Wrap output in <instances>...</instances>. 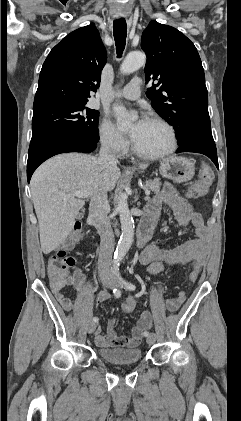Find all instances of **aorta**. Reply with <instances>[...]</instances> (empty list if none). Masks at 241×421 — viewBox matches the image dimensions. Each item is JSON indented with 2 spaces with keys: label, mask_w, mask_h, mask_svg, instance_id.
I'll list each match as a JSON object with an SVG mask.
<instances>
[{
  "label": "aorta",
  "mask_w": 241,
  "mask_h": 421,
  "mask_svg": "<svg viewBox=\"0 0 241 421\" xmlns=\"http://www.w3.org/2000/svg\"><path fill=\"white\" fill-rule=\"evenodd\" d=\"M145 62L146 56L144 53L140 51L131 52L124 59L120 67V71L125 75L131 74L142 67ZM114 110L123 117V120L120 123V128H129L131 122L135 120V116L129 117L126 109L121 105H116ZM116 209L119 213L122 230L120 240L114 253V265L118 266L132 245L134 238V220L129 211L126 195H120L117 201Z\"/></svg>",
  "instance_id": "obj_1"
}]
</instances>
